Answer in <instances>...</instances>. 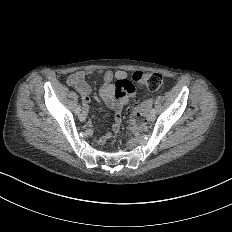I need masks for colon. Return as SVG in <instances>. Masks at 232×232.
<instances>
[{"label":"colon","instance_id":"obj_1","mask_svg":"<svg viewBox=\"0 0 232 232\" xmlns=\"http://www.w3.org/2000/svg\"><path fill=\"white\" fill-rule=\"evenodd\" d=\"M134 81L138 85L148 86V91H152V97H165V95H168V84L160 76V71H146L145 74L138 72L134 76ZM131 126L135 130L144 129L146 126L145 117L142 115L133 116Z\"/></svg>","mask_w":232,"mask_h":232}]
</instances>
